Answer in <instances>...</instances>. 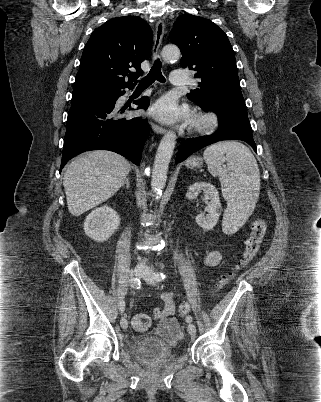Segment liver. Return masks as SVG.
<instances>
[{
	"mask_svg": "<svg viewBox=\"0 0 321 402\" xmlns=\"http://www.w3.org/2000/svg\"><path fill=\"white\" fill-rule=\"evenodd\" d=\"M130 170L124 157L110 151H91L75 159L63 178L69 212L80 216L112 197Z\"/></svg>",
	"mask_w": 321,
	"mask_h": 402,
	"instance_id": "liver-1",
	"label": "liver"
}]
</instances>
